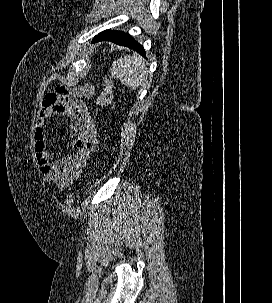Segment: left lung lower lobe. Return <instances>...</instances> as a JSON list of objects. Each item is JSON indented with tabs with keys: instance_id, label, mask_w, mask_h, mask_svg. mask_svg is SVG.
Here are the masks:
<instances>
[{
	"instance_id": "0a47b994",
	"label": "left lung lower lobe",
	"mask_w": 272,
	"mask_h": 303,
	"mask_svg": "<svg viewBox=\"0 0 272 303\" xmlns=\"http://www.w3.org/2000/svg\"><path fill=\"white\" fill-rule=\"evenodd\" d=\"M102 40H108L114 42L117 45L126 46L130 49L135 50L142 56H146L143 46H141L136 40H134L133 37L128 33L106 30L98 34L93 39V42Z\"/></svg>"
}]
</instances>
